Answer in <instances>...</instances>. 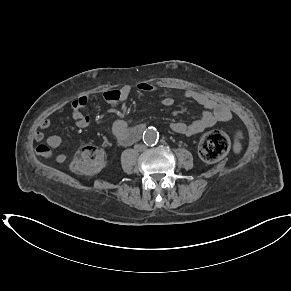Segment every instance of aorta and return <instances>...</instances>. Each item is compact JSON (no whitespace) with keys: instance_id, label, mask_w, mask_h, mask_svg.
Wrapping results in <instances>:
<instances>
[{"instance_id":"aorta-1","label":"aorta","mask_w":291,"mask_h":291,"mask_svg":"<svg viewBox=\"0 0 291 291\" xmlns=\"http://www.w3.org/2000/svg\"><path fill=\"white\" fill-rule=\"evenodd\" d=\"M159 134L157 130L153 127H150L144 131L143 140L147 145H153L158 141Z\"/></svg>"}]
</instances>
